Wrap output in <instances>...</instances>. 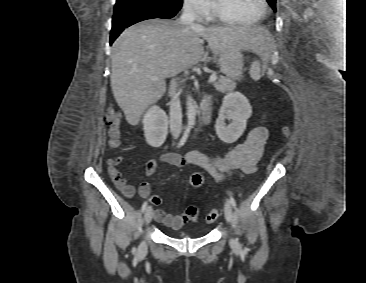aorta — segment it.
<instances>
[{
  "instance_id": "762f6f07",
  "label": "aorta",
  "mask_w": 366,
  "mask_h": 283,
  "mask_svg": "<svg viewBox=\"0 0 366 283\" xmlns=\"http://www.w3.org/2000/svg\"><path fill=\"white\" fill-rule=\"evenodd\" d=\"M186 107H187L188 126H193L196 121L197 105L195 104L193 98L190 95L187 97Z\"/></svg>"
}]
</instances>
